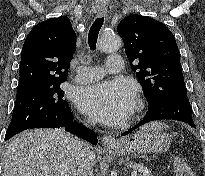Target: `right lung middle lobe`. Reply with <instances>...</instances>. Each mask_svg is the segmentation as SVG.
I'll list each match as a JSON object with an SVG mask.
<instances>
[{
    "instance_id": "1",
    "label": "right lung middle lobe",
    "mask_w": 205,
    "mask_h": 176,
    "mask_svg": "<svg viewBox=\"0 0 205 176\" xmlns=\"http://www.w3.org/2000/svg\"><path fill=\"white\" fill-rule=\"evenodd\" d=\"M63 97L64 92L59 85L18 94L5 139H9L41 121L59 117L67 112L69 106Z\"/></svg>"
}]
</instances>
